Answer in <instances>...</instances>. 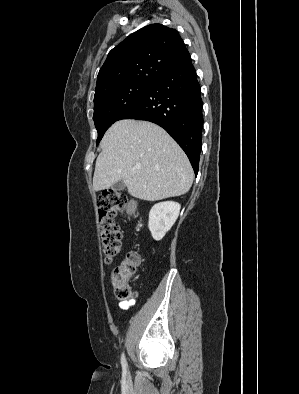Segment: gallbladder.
<instances>
[{
	"instance_id": "1",
	"label": "gallbladder",
	"mask_w": 299,
	"mask_h": 394,
	"mask_svg": "<svg viewBox=\"0 0 299 394\" xmlns=\"http://www.w3.org/2000/svg\"><path fill=\"white\" fill-rule=\"evenodd\" d=\"M125 183H124V181L121 179V180H119V181H117L113 186H112V189L114 190V191H121V190H123L124 188H125Z\"/></svg>"
}]
</instances>
